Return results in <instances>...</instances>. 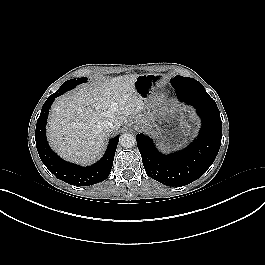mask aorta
I'll list each match as a JSON object with an SVG mask.
<instances>
[{
    "instance_id": "762f6f07",
    "label": "aorta",
    "mask_w": 265,
    "mask_h": 265,
    "mask_svg": "<svg viewBox=\"0 0 265 265\" xmlns=\"http://www.w3.org/2000/svg\"><path fill=\"white\" fill-rule=\"evenodd\" d=\"M120 144L124 148H132L136 145V138L133 134L124 133L120 136Z\"/></svg>"
}]
</instances>
